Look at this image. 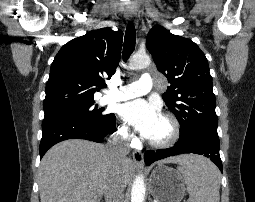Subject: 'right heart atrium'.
<instances>
[{"label":"right heart atrium","instance_id":"right-heart-atrium-1","mask_svg":"<svg viewBox=\"0 0 255 202\" xmlns=\"http://www.w3.org/2000/svg\"><path fill=\"white\" fill-rule=\"evenodd\" d=\"M118 134L124 140H130L131 139L130 131H129L128 127L124 124H122L118 127Z\"/></svg>","mask_w":255,"mask_h":202}]
</instances>
